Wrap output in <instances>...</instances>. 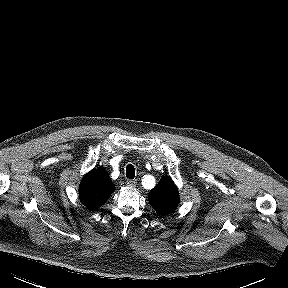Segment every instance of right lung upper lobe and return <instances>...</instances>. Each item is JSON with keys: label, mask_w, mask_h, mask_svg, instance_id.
<instances>
[{"label": "right lung upper lobe", "mask_w": 288, "mask_h": 288, "mask_svg": "<svg viewBox=\"0 0 288 288\" xmlns=\"http://www.w3.org/2000/svg\"><path fill=\"white\" fill-rule=\"evenodd\" d=\"M114 191V185L103 168L87 173L80 182L79 197L89 209L95 210L102 206Z\"/></svg>", "instance_id": "obj_1"}]
</instances>
